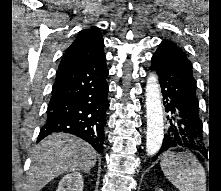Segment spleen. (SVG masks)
<instances>
[{
    "label": "spleen",
    "mask_w": 221,
    "mask_h": 191,
    "mask_svg": "<svg viewBox=\"0 0 221 191\" xmlns=\"http://www.w3.org/2000/svg\"><path fill=\"white\" fill-rule=\"evenodd\" d=\"M160 165L166 178L179 191H206L205 170L191 153L167 152Z\"/></svg>",
    "instance_id": "3e777b00"
}]
</instances>
